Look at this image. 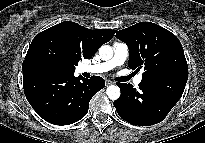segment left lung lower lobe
I'll return each instance as SVG.
<instances>
[{
	"label": "left lung lower lobe",
	"instance_id": "1",
	"mask_svg": "<svg viewBox=\"0 0 205 143\" xmlns=\"http://www.w3.org/2000/svg\"><path fill=\"white\" fill-rule=\"evenodd\" d=\"M188 73L170 72L142 78L139 89L117 83L121 96L114 102L121 118L133 125L161 122L181 98Z\"/></svg>",
	"mask_w": 205,
	"mask_h": 143
}]
</instances>
